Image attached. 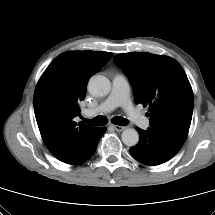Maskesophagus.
Wrapping results in <instances>:
<instances>
[{
    "label": "esophagus",
    "instance_id": "34e87169",
    "mask_svg": "<svg viewBox=\"0 0 215 215\" xmlns=\"http://www.w3.org/2000/svg\"><path fill=\"white\" fill-rule=\"evenodd\" d=\"M112 127L118 132H121L127 128L126 126H120V125H112Z\"/></svg>",
    "mask_w": 215,
    "mask_h": 215
}]
</instances>
